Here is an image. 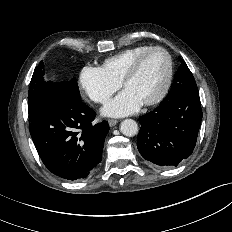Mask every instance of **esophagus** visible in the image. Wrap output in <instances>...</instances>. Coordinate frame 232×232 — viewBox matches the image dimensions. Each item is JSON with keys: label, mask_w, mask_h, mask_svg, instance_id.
<instances>
[{"label": "esophagus", "mask_w": 232, "mask_h": 232, "mask_svg": "<svg viewBox=\"0 0 232 232\" xmlns=\"http://www.w3.org/2000/svg\"><path fill=\"white\" fill-rule=\"evenodd\" d=\"M117 123H118V121L115 120V119H109L108 120V124H109L110 127L115 126Z\"/></svg>", "instance_id": "esophagus-1"}]
</instances>
